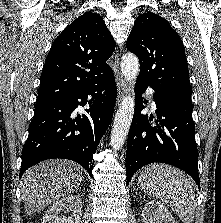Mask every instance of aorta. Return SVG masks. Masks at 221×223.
Returning a JSON list of instances; mask_svg holds the SVG:
<instances>
[{"label": "aorta", "instance_id": "obj_1", "mask_svg": "<svg viewBox=\"0 0 221 223\" xmlns=\"http://www.w3.org/2000/svg\"><path fill=\"white\" fill-rule=\"evenodd\" d=\"M121 71L126 81L132 86V90L123 98L115 115L110 136V144L114 151L121 149L123 146L134 115L135 96L133 86L139 74V60L136 55L127 53L122 57Z\"/></svg>", "mask_w": 221, "mask_h": 223}]
</instances>
